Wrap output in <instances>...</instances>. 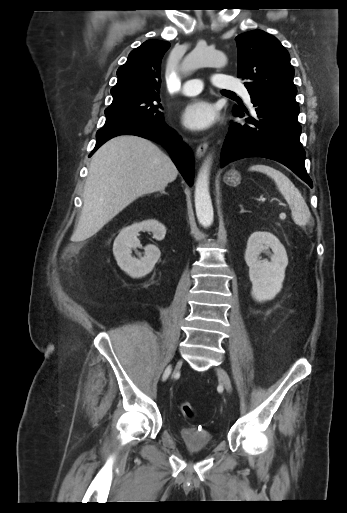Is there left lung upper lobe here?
<instances>
[{"label": "left lung upper lobe", "instance_id": "5c2ea615", "mask_svg": "<svg viewBox=\"0 0 347 513\" xmlns=\"http://www.w3.org/2000/svg\"><path fill=\"white\" fill-rule=\"evenodd\" d=\"M238 77L246 80L250 95L295 97L294 69L280 41L262 31L253 30L236 37Z\"/></svg>", "mask_w": 347, "mask_h": 513}]
</instances>
